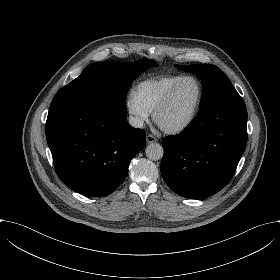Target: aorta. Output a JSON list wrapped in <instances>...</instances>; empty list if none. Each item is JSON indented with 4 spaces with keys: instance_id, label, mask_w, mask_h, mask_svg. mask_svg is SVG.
I'll return each instance as SVG.
<instances>
[{
    "instance_id": "762f6f07",
    "label": "aorta",
    "mask_w": 280,
    "mask_h": 280,
    "mask_svg": "<svg viewBox=\"0 0 280 280\" xmlns=\"http://www.w3.org/2000/svg\"><path fill=\"white\" fill-rule=\"evenodd\" d=\"M145 152L147 158H149L150 160H159L163 157L164 150L162 145L154 142L147 145Z\"/></svg>"
}]
</instances>
